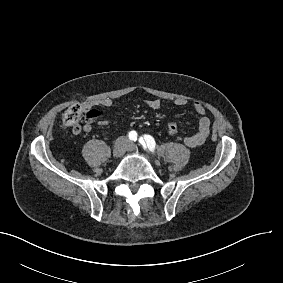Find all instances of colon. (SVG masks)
Returning <instances> with one entry per match:
<instances>
[{"instance_id": "obj_1", "label": "colon", "mask_w": 283, "mask_h": 283, "mask_svg": "<svg viewBox=\"0 0 283 283\" xmlns=\"http://www.w3.org/2000/svg\"><path fill=\"white\" fill-rule=\"evenodd\" d=\"M61 121L73 133H79L82 129V112L80 107L78 105H70L63 113ZM166 130L169 135H175L179 131L178 124L175 121H170L167 124Z\"/></svg>"}]
</instances>
